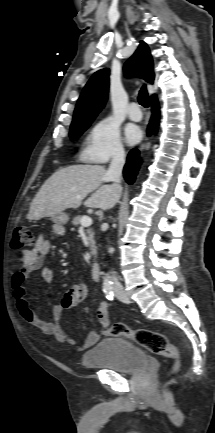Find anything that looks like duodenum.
<instances>
[{
  "instance_id": "duodenum-1",
  "label": "duodenum",
  "mask_w": 215,
  "mask_h": 433,
  "mask_svg": "<svg viewBox=\"0 0 215 433\" xmlns=\"http://www.w3.org/2000/svg\"><path fill=\"white\" fill-rule=\"evenodd\" d=\"M91 275L94 280H100L101 278V269L98 263H93L91 265Z\"/></svg>"
}]
</instances>
